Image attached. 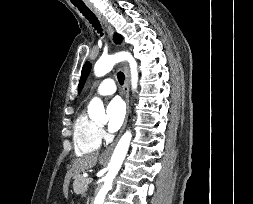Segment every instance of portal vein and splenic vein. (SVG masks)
<instances>
[{
    "instance_id": "obj_1",
    "label": "portal vein and splenic vein",
    "mask_w": 253,
    "mask_h": 204,
    "mask_svg": "<svg viewBox=\"0 0 253 204\" xmlns=\"http://www.w3.org/2000/svg\"><path fill=\"white\" fill-rule=\"evenodd\" d=\"M87 182H88V183H92V182H93V178L89 177V178L87 179Z\"/></svg>"
}]
</instances>
